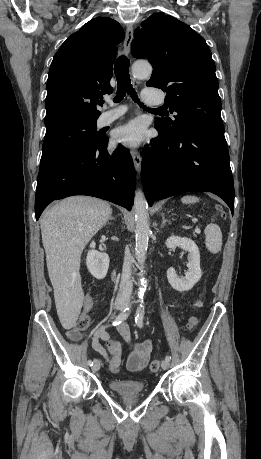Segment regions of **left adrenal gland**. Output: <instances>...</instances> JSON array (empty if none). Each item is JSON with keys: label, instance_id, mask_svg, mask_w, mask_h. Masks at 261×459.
<instances>
[{"label": "left adrenal gland", "instance_id": "a2214340", "mask_svg": "<svg viewBox=\"0 0 261 459\" xmlns=\"http://www.w3.org/2000/svg\"><path fill=\"white\" fill-rule=\"evenodd\" d=\"M168 222V223H171L170 220L166 219L164 214H162V223H161V228L165 226V223Z\"/></svg>", "mask_w": 261, "mask_h": 459}]
</instances>
